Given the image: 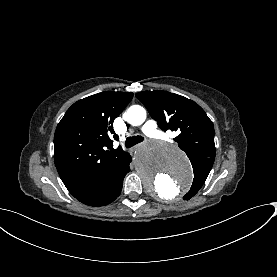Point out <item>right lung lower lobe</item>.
<instances>
[{"instance_id": "right-lung-lower-lobe-1", "label": "right lung lower lobe", "mask_w": 277, "mask_h": 277, "mask_svg": "<svg viewBox=\"0 0 277 277\" xmlns=\"http://www.w3.org/2000/svg\"><path fill=\"white\" fill-rule=\"evenodd\" d=\"M130 162L131 156L127 154L103 180L75 198L89 206H103L113 202L121 193L123 179L130 171Z\"/></svg>"}]
</instances>
